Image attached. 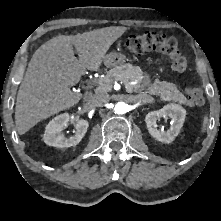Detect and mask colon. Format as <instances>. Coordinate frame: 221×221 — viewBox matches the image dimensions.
Here are the masks:
<instances>
[{"label": "colon", "instance_id": "obj_1", "mask_svg": "<svg viewBox=\"0 0 221 221\" xmlns=\"http://www.w3.org/2000/svg\"><path fill=\"white\" fill-rule=\"evenodd\" d=\"M127 47L136 54L147 51H159L167 55L171 60V68L178 73H184L187 68V61L180 53L175 38L166 36L162 32L147 31L135 34L128 38ZM187 101L191 105L200 106L204 103L203 92L200 88L189 86L185 88Z\"/></svg>", "mask_w": 221, "mask_h": 221}]
</instances>
